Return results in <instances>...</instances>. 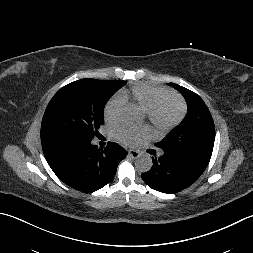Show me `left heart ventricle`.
<instances>
[{"label": "left heart ventricle", "instance_id": "b2bd125f", "mask_svg": "<svg viewBox=\"0 0 253 253\" xmlns=\"http://www.w3.org/2000/svg\"><path fill=\"white\" fill-rule=\"evenodd\" d=\"M175 113H176L175 106L171 102H168L164 105L161 111V117L167 120L172 118L175 115Z\"/></svg>", "mask_w": 253, "mask_h": 253}]
</instances>
